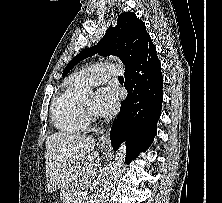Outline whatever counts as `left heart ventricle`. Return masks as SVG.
<instances>
[{"mask_svg":"<svg viewBox=\"0 0 222 203\" xmlns=\"http://www.w3.org/2000/svg\"><path fill=\"white\" fill-rule=\"evenodd\" d=\"M85 104L93 111L94 98L92 96L85 99Z\"/></svg>","mask_w":222,"mask_h":203,"instance_id":"left-heart-ventricle-1","label":"left heart ventricle"}]
</instances>
